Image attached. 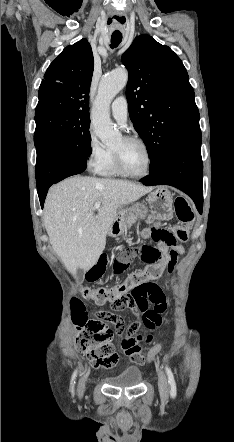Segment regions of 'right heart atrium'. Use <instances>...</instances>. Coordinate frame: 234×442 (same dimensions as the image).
<instances>
[{
	"label": "right heart atrium",
	"instance_id": "1",
	"mask_svg": "<svg viewBox=\"0 0 234 442\" xmlns=\"http://www.w3.org/2000/svg\"><path fill=\"white\" fill-rule=\"evenodd\" d=\"M108 156V150L90 129L87 137V167L94 173H99Z\"/></svg>",
	"mask_w": 234,
	"mask_h": 442
}]
</instances>
